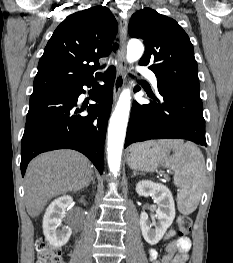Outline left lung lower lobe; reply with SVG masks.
<instances>
[{
	"label": "left lung lower lobe",
	"mask_w": 233,
	"mask_h": 263,
	"mask_svg": "<svg viewBox=\"0 0 233 263\" xmlns=\"http://www.w3.org/2000/svg\"><path fill=\"white\" fill-rule=\"evenodd\" d=\"M140 88L136 87L135 92ZM150 104L133 103L125 148L150 139H186L207 146L199 88L169 83L158 87Z\"/></svg>",
	"instance_id": "1"
}]
</instances>
